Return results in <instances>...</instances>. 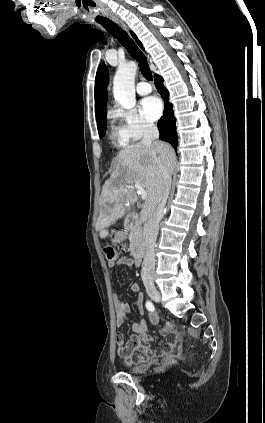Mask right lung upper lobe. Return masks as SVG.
<instances>
[{
  "mask_svg": "<svg viewBox=\"0 0 265 423\" xmlns=\"http://www.w3.org/2000/svg\"><path fill=\"white\" fill-rule=\"evenodd\" d=\"M138 45L143 49L141 42L137 39L136 35L131 32ZM107 84H108V70L105 64H101L96 73L95 80V114L97 123L106 115L107 103Z\"/></svg>",
  "mask_w": 265,
  "mask_h": 423,
  "instance_id": "1",
  "label": "right lung upper lobe"
}]
</instances>
